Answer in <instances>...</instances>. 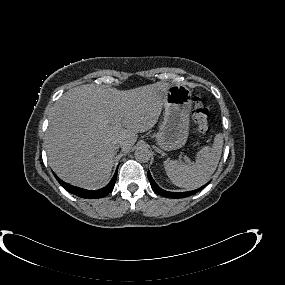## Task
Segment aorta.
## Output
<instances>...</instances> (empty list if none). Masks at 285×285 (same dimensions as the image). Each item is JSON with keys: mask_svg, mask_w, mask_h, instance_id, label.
<instances>
[{"mask_svg": "<svg viewBox=\"0 0 285 285\" xmlns=\"http://www.w3.org/2000/svg\"><path fill=\"white\" fill-rule=\"evenodd\" d=\"M135 158L139 162L146 163L151 158V152H150V150L147 147H143V146L139 147L135 151Z\"/></svg>", "mask_w": 285, "mask_h": 285, "instance_id": "obj_1", "label": "aorta"}]
</instances>
